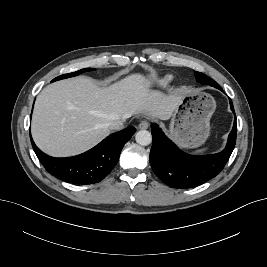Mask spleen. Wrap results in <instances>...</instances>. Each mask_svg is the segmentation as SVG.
Returning a JSON list of instances; mask_svg holds the SVG:
<instances>
[{"mask_svg":"<svg viewBox=\"0 0 267 267\" xmlns=\"http://www.w3.org/2000/svg\"><path fill=\"white\" fill-rule=\"evenodd\" d=\"M206 150H207V148H204V149L195 151L194 154H201V153L205 152Z\"/></svg>","mask_w":267,"mask_h":267,"instance_id":"obj_1","label":"spleen"}]
</instances>
